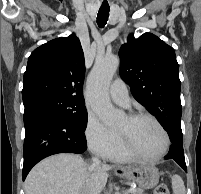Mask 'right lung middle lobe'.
I'll return each instance as SVG.
<instances>
[{
  "mask_svg": "<svg viewBox=\"0 0 201 194\" xmlns=\"http://www.w3.org/2000/svg\"><path fill=\"white\" fill-rule=\"evenodd\" d=\"M30 105L53 110L60 114L63 118L70 121L81 132L85 131L87 123V111L84 101L48 95L40 96L24 103V106Z\"/></svg>",
  "mask_w": 201,
  "mask_h": 194,
  "instance_id": "1",
  "label": "right lung middle lobe"
}]
</instances>
